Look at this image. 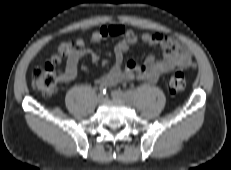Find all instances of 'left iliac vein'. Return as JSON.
<instances>
[{
	"mask_svg": "<svg viewBox=\"0 0 231 170\" xmlns=\"http://www.w3.org/2000/svg\"><path fill=\"white\" fill-rule=\"evenodd\" d=\"M111 97L115 100H124L127 96L120 90H113L111 92Z\"/></svg>",
	"mask_w": 231,
	"mask_h": 170,
	"instance_id": "left-iliac-vein-1",
	"label": "left iliac vein"
}]
</instances>
